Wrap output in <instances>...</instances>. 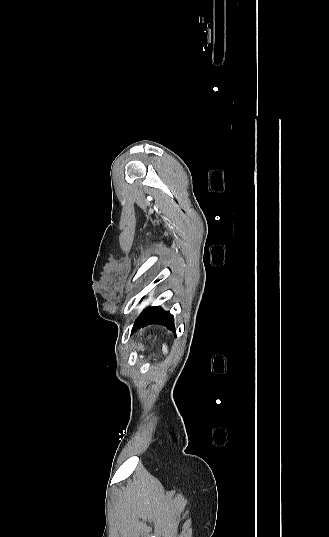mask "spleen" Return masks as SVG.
<instances>
[{"label": "spleen", "mask_w": 329, "mask_h": 537, "mask_svg": "<svg viewBox=\"0 0 329 537\" xmlns=\"http://www.w3.org/2000/svg\"><path fill=\"white\" fill-rule=\"evenodd\" d=\"M162 351H163L164 354H166L168 352L166 345H163Z\"/></svg>", "instance_id": "1"}]
</instances>
